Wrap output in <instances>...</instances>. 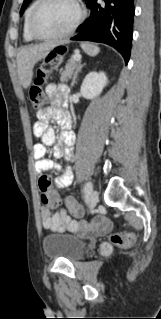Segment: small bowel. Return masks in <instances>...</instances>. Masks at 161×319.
<instances>
[{"label":"small bowel","instance_id":"obj_1","mask_svg":"<svg viewBox=\"0 0 161 319\" xmlns=\"http://www.w3.org/2000/svg\"><path fill=\"white\" fill-rule=\"evenodd\" d=\"M45 92L51 105L37 113L38 121L33 126L34 136L41 138L42 141L33 145V156L36 160L35 171L37 173L61 170L59 164L45 158L46 146L53 145V155L56 158L65 156L66 160H70L75 141L74 133L70 130L69 117L61 109L65 105L69 94V87L64 82L50 83L46 86ZM50 119L57 120L63 128V132L57 142L54 129L46 126ZM73 177V171L68 166L55 180V186L58 189H65L71 185ZM77 209H81L80 205L72 197H67L65 206L61 207L58 212L52 213L48 207L42 209V225L53 232L69 230L73 233H105L109 230L104 218H95L91 221L74 220L73 216H81V213L71 212V210Z\"/></svg>","mask_w":161,"mask_h":319}]
</instances>
